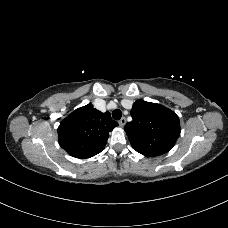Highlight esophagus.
<instances>
[{"label":"esophagus","mask_w":228,"mask_h":228,"mask_svg":"<svg viewBox=\"0 0 228 228\" xmlns=\"http://www.w3.org/2000/svg\"><path fill=\"white\" fill-rule=\"evenodd\" d=\"M125 124H126V118H125V117H122V118L119 120V125H120V127H123Z\"/></svg>","instance_id":"obj_1"}]
</instances>
